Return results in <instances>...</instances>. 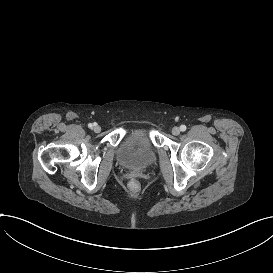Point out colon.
<instances>
[{
    "mask_svg": "<svg viewBox=\"0 0 273 273\" xmlns=\"http://www.w3.org/2000/svg\"><path fill=\"white\" fill-rule=\"evenodd\" d=\"M129 187H130L131 190L136 191V190L139 189L140 184H139L138 181L133 180V181L130 182Z\"/></svg>",
    "mask_w": 273,
    "mask_h": 273,
    "instance_id": "colon-1",
    "label": "colon"
}]
</instances>
